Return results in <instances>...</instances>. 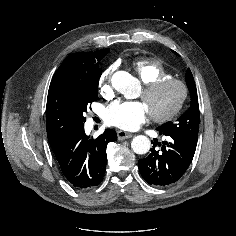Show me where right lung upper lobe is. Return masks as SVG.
Returning a JSON list of instances; mask_svg holds the SVG:
<instances>
[{
	"mask_svg": "<svg viewBox=\"0 0 236 236\" xmlns=\"http://www.w3.org/2000/svg\"><path fill=\"white\" fill-rule=\"evenodd\" d=\"M90 54L79 52L68 56L57 69L50 83L46 107V126L53 152L57 151L77 128L70 105V88L78 77L80 64Z\"/></svg>",
	"mask_w": 236,
	"mask_h": 236,
	"instance_id": "1",
	"label": "right lung upper lobe"
}]
</instances>
